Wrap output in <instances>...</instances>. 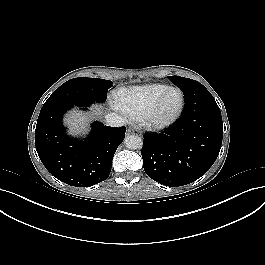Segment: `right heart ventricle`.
<instances>
[{"instance_id":"1","label":"right heart ventricle","mask_w":265,"mask_h":265,"mask_svg":"<svg viewBox=\"0 0 265 265\" xmlns=\"http://www.w3.org/2000/svg\"><path fill=\"white\" fill-rule=\"evenodd\" d=\"M163 84H149L117 92V104L131 119L142 121L155 99L167 88Z\"/></svg>"}]
</instances>
